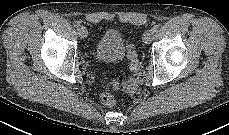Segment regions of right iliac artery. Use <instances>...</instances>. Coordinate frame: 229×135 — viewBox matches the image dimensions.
Here are the masks:
<instances>
[{
    "instance_id": "right-iliac-artery-1",
    "label": "right iliac artery",
    "mask_w": 229,
    "mask_h": 135,
    "mask_svg": "<svg viewBox=\"0 0 229 135\" xmlns=\"http://www.w3.org/2000/svg\"><path fill=\"white\" fill-rule=\"evenodd\" d=\"M74 26H75L76 28H79V27H80V22H79V21H75V22H74Z\"/></svg>"
}]
</instances>
